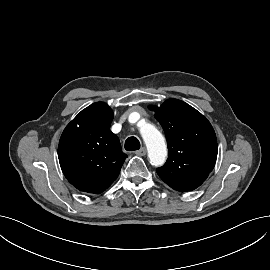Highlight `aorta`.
<instances>
[{"mask_svg":"<svg viewBox=\"0 0 270 270\" xmlns=\"http://www.w3.org/2000/svg\"><path fill=\"white\" fill-rule=\"evenodd\" d=\"M141 136L148 150V157L155 166H161L167 157V148L161 132L152 124L139 126Z\"/></svg>","mask_w":270,"mask_h":270,"instance_id":"1","label":"aorta"}]
</instances>
